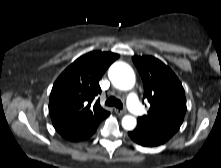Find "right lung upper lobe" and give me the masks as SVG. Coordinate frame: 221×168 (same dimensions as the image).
Here are the masks:
<instances>
[{
  "label": "right lung upper lobe",
  "instance_id": "1",
  "mask_svg": "<svg viewBox=\"0 0 221 168\" xmlns=\"http://www.w3.org/2000/svg\"><path fill=\"white\" fill-rule=\"evenodd\" d=\"M119 57L112 52L93 51L75 60L55 81L49 113L59 134L98 124L109 115L95 97L101 93L99 80Z\"/></svg>",
  "mask_w": 221,
  "mask_h": 168
}]
</instances>
